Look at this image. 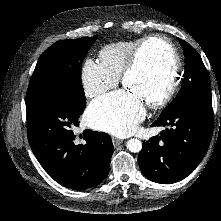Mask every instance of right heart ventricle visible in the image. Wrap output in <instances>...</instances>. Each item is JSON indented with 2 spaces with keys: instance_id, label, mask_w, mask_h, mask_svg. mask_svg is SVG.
<instances>
[{
  "instance_id": "1",
  "label": "right heart ventricle",
  "mask_w": 221,
  "mask_h": 221,
  "mask_svg": "<svg viewBox=\"0 0 221 221\" xmlns=\"http://www.w3.org/2000/svg\"><path fill=\"white\" fill-rule=\"evenodd\" d=\"M144 37L106 45L99 53V66L108 76L119 78L134 46Z\"/></svg>"
}]
</instances>
